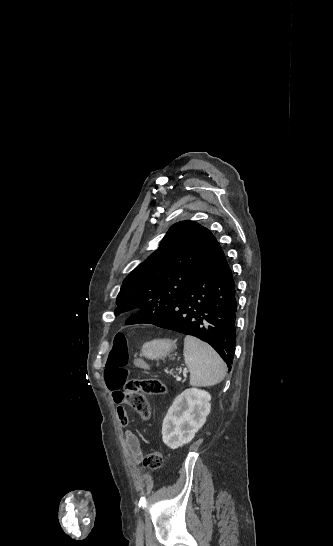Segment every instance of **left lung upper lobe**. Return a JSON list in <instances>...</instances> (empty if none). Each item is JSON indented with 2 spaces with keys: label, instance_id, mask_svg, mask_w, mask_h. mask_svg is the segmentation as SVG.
Instances as JSON below:
<instances>
[{
  "label": "left lung upper lobe",
  "instance_id": "1",
  "mask_svg": "<svg viewBox=\"0 0 333 546\" xmlns=\"http://www.w3.org/2000/svg\"><path fill=\"white\" fill-rule=\"evenodd\" d=\"M215 242L212 233L196 222L174 224L159 248L124 279L115 315L138 307L146 322L156 320L190 286Z\"/></svg>",
  "mask_w": 333,
  "mask_h": 546
}]
</instances>
